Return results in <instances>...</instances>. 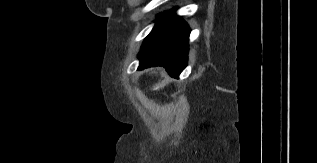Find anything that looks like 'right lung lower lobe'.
Wrapping results in <instances>:
<instances>
[{"mask_svg": "<svg viewBox=\"0 0 317 163\" xmlns=\"http://www.w3.org/2000/svg\"><path fill=\"white\" fill-rule=\"evenodd\" d=\"M189 34L190 28L179 16L166 14L144 40L138 70L163 66L178 78L187 65Z\"/></svg>", "mask_w": 317, "mask_h": 163, "instance_id": "98d812e1", "label": "right lung lower lobe"}]
</instances>
